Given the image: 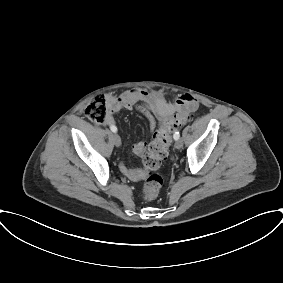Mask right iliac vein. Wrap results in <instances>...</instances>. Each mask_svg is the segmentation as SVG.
Returning <instances> with one entry per match:
<instances>
[{
  "label": "right iliac vein",
  "mask_w": 283,
  "mask_h": 283,
  "mask_svg": "<svg viewBox=\"0 0 283 283\" xmlns=\"http://www.w3.org/2000/svg\"><path fill=\"white\" fill-rule=\"evenodd\" d=\"M113 142L115 146L119 147L121 145V138L118 134L113 135Z\"/></svg>",
  "instance_id": "63e3f726"
}]
</instances>
